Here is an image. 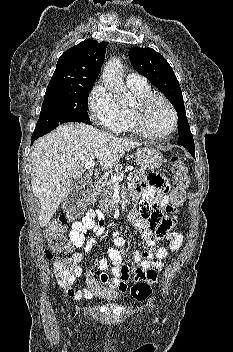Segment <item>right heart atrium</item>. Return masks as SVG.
I'll list each match as a JSON object with an SVG mask.
<instances>
[{
	"instance_id": "1",
	"label": "right heart atrium",
	"mask_w": 233,
	"mask_h": 352,
	"mask_svg": "<svg viewBox=\"0 0 233 352\" xmlns=\"http://www.w3.org/2000/svg\"><path fill=\"white\" fill-rule=\"evenodd\" d=\"M90 109L95 121L104 129L118 133L122 126V108L101 84L96 85L90 96Z\"/></svg>"
}]
</instances>
